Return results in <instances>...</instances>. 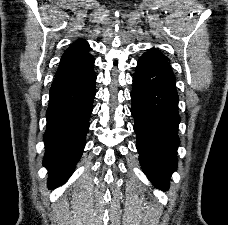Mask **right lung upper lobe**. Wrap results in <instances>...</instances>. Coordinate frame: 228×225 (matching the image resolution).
<instances>
[{
    "label": "right lung upper lobe",
    "mask_w": 228,
    "mask_h": 225,
    "mask_svg": "<svg viewBox=\"0 0 228 225\" xmlns=\"http://www.w3.org/2000/svg\"><path fill=\"white\" fill-rule=\"evenodd\" d=\"M89 50L90 47L85 40H77L71 44L69 48L64 52L61 58V63L77 60L84 56H87L89 54Z\"/></svg>",
    "instance_id": "right-lung-upper-lobe-1"
}]
</instances>
